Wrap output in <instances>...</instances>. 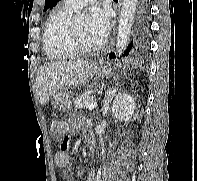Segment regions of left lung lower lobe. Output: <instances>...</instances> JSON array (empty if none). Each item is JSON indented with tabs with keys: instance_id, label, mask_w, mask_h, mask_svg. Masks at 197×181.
I'll list each match as a JSON object with an SVG mask.
<instances>
[{
	"instance_id": "obj_1",
	"label": "left lung lower lobe",
	"mask_w": 197,
	"mask_h": 181,
	"mask_svg": "<svg viewBox=\"0 0 197 181\" xmlns=\"http://www.w3.org/2000/svg\"><path fill=\"white\" fill-rule=\"evenodd\" d=\"M150 0H139L137 7V18L131 38L122 53L123 57L138 59L143 57L148 51L149 39V19H150ZM110 58H114L115 54L110 53Z\"/></svg>"
}]
</instances>
